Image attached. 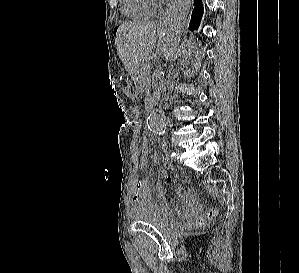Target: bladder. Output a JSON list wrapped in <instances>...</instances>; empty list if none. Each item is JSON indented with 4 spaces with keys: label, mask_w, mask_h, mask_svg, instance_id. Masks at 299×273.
Listing matches in <instances>:
<instances>
[{
    "label": "bladder",
    "mask_w": 299,
    "mask_h": 273,
    "mask_svg": "<svg viewBox=\"0 0 299 273\" xmlns=\"http://www.w3.org/2000/svg\"><path fill=\"white\" fill-rule=\"evenodd\" d=\"M134 220L137 223L152 225L164 229L171 224V220L158 214L154 209L135 211Z\"/></svg>",
    "instance_id": "1"
}]
</instances>
